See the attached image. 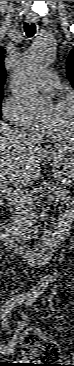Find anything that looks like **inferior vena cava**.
<instances>
[{
    "mask_svg": "<svg viewBox=\"0 0 74 366\" xmlns=\"http://www.w3.org/2000/svg\"><path fill=\"white\" fill-rule=\"evenodd\" d=\"M27 133V132H26ZM28 134V136H30V137H32L33 139H34V141L38 144V145H40L39 144V139H38V137H36L33 133H27Z\"/></svg>",
    "mask_w": 74,
    "mask_h": 366,
    "instance_id": "inferior-vena-cava-1",
    "label": "inferior vena cava"
}]
</instances>
